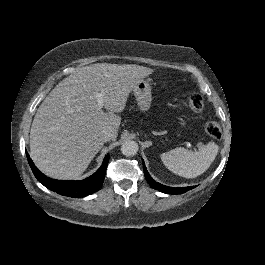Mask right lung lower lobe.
I'll list each match as a JSON object with an SVG mask.
<instances>
[{
    "mask_svg": "<svg viewBox=\"0 0 265 265\" xmlns=\"http://www.w3.org/2000/svg\"><path fill=\"white\" fill-rule=\"evenodd\" d=\"M29 165L32 169L37 180L42 183L46 188L60 194L63 196L73 197V198H80L92 194L99 190L102 186L104 177H105V170L107 168V164L109 161V155H107L101 167L90 177L81 180V181H62V180H55L45 176L41 173L37 167L33 164L32 160L29 158L27 154Z\"/></svg>",
    "mask_w": 265,
    "mask_h": 265,
    "instance_id": "obj_1",
    "label": "right lung lower lobe"
}]
</instances>
